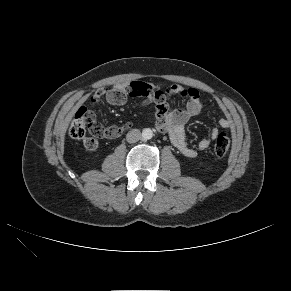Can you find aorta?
Listing matches in <instances>:
<instances>
[{"label":"aorta","instance_id":"762f6f07","mask_svg":"<svg viewBox=\"0 0 291 291\" xmlns=\"http://www.w3.org/2000/svg\"><path fill=\"white\" fill-rule=\"evenodd\" d=\"M153 137V131L150 128H144L142 131V138L144 140H149Z\"/></svg>","mask_w":291,"mask_h":291}]
</instances>
